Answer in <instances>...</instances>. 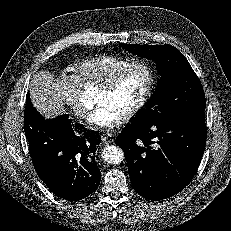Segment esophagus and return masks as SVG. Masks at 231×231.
<instances>
[{
  "label": "esophagus",
  "mask_w": 231,
  "mask_h": 231,
  "mask_svg": "<svg viewBox=\"0 0 231 231\" xmlns=\"http://www.w3.org/2000/svg\"><path fill=\"white\" fill-rule=\"evenodd\" d=\"M102 141L106 144H111L115 141V135L111 133H106L102 136Z\"/></svg>",
  "instance_id": "1"
}]
</instances>
